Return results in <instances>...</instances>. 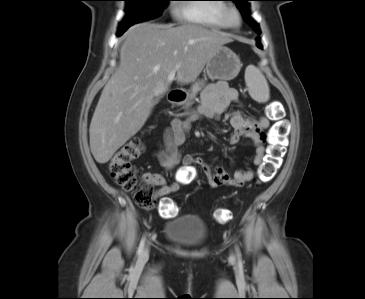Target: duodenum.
<instances>
[{"label":"duodenum","instance_id":"1","mask_svg":"<svg viewBox=\"0 0 365 299\" xmlns=\"http://www.w3.org/2000/svg\"><path fill=\"white\" fill-rule=\"evenodd\" d=\"M187 97V94L182 89H174L171 90L168 94V99L172 104L179 105L181 104Z\"/></svg>","mask_w":365,"mask_h":299}]
</instances>
